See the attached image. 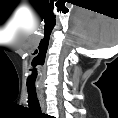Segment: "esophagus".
<instances>
[{"mask_svg":"<svg viewBox=\"0 0 118 118\" xmlns=\"http://www.w3.org/2000/svg\"><path fill=\"white\" fill-rule=\"evenodd\" d=\"M40 100H41L42 109L45 110V102L43 96H41Z\"/></svg>","mask_w":118,"mask_h":118,"instance_id":"1","label":"esophagus"}]
</instances>
